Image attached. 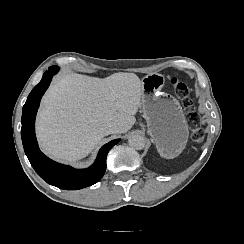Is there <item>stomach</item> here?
I'll return each mask as SVG.
<instances>
[{"instance_id":"0dacf381","label":"stomach","mask_w":244,"mask_h":244,"mask_svg":"<svg viewBox=\"0 0 244 244\" xmlns=\"http://www.w3.org/2000/svg\"><path fill=\"white\" fill-rule=\"evenodd\" d=\"M163 85L164 77L158 73L142 79V111L158 154L172 159L185 149L189 129L179 100L163 91Z\"/></svg>"}]
</instances>
